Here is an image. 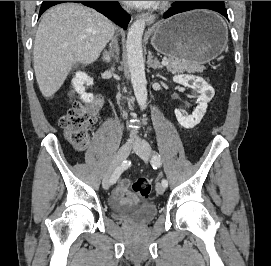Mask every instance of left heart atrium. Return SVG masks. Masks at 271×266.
I'll return each instance as SVG.
<instances>
[{
	"label": "left heart atrium",
	"instance_id": "39dd6f15",
	"mask_svg": "<svg viewBox=\"0 0 271 266\" xmlns=\"http://www.w3.org/2000/svg\"><path fill=\"white\" fill-rule=\"evenodd\" d=\"M126 2L139 8H145L156 4L158 1H126Z\"/></svg>",
	"mask_w": 271,
	"mask_h": 266
}]
</instances>
